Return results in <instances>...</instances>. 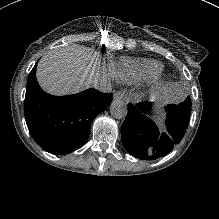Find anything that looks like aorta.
I'll return each instance as SVG.
<instances>
[{
    "label": "aorta",
    "instance_id": "aorta-1",
    "mask_svg": "<svg viewBox=\"0 0 219 219\" xmlns=\"http://www.w3.org/2000/svg\"><path fill=\"white\" fill-rule=\"evenodd\" d=\"M128 113V108L123 100H114L110 104V114L115 119H124Z\"/></svg>",
    "mask_w": 219,
    "mask_h": 219
}]
</instances>
